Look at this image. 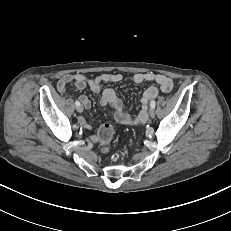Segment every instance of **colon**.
I'll return each instance as SVG.
<instances>
[{
    "label": "colon",
    "mask_w": 231,
    "mask_h": 231,
    "mask_svg": "<svg viewBox=\"0 0 231 231\" xmlns=\"http://www.w3.org/2000/svg\"><path fill=\"white\" fill-rule=\"evenodd\" d=\"M98 137L102 147L107 149L113 137V128L110 125H103L98 131Z\"/></svg>",
    "instance_id": "obj_1"
}]
</instances>
